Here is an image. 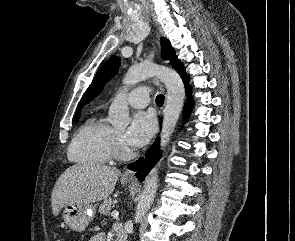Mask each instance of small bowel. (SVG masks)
Returning a JSON list of instances; mask_svg holds the SVG:
<instances>
[{
    "label": "small bowel",
    "instance_id": "1",
    "mask_svg": "<svg viewBox=\"0 0 295 241\" xmlns=\"http://www.w3.org/2000/svg\"><path fill=\"white\" fill-rule=\"evenodd\" d=\"M117 233H123L121 227L119 226L116 227V234ZM89 241H105V236L103 233H98L92 236Z\"/></svg>",
    "mask_w": 295,
    "mask_h": 241
}]
</instances>
